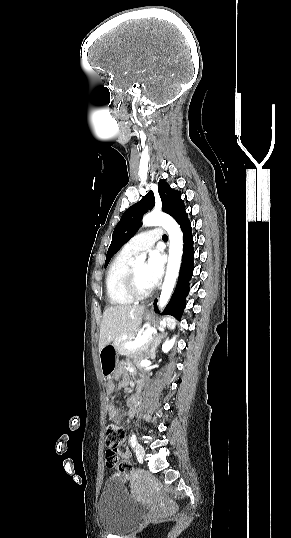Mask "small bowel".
Wrapping results in <instances>:
<instances>
[{
	"instance_id": "small-bowel-1",
	"label": "small bowel",
	"mask_w": 291,
	"mask_h": 538,
	"mask_svg": "<svg viewBox=\"0 0 291 538\" xmlns=\"http://www.w3.org/2000/svg\"><path fill=\"white\" fill-rule=\"evenodd\" d=\"M121 375V371L118 370L116 373H115V376L114 378L115 379H119ZM127 385V381L125 379H122L119 381V386L120 387H125ZM115 391V384L112 380H109L106 384V394L107 395H112ZM137 400H138V396L137 395H133L130 399H129V402H128V414L129 415H132L136 409V406H137ZM107 409H108V413L111 417H114L116 419L119 418V416L121 415V412L120 410L113 404V403H109L108 406H107ZM123 440L120 442V444H122ZM119 444V445H120ZM118 454V457H121V458H128L130 456V453L128 451H118L117 452Z\"/></svg>"
}]
</instances>
